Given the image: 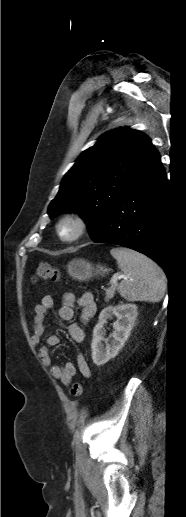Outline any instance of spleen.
Segmentation results:
<instances>
[{"label": "spleen", "instance_id": "3e777b00", "mask_svg": "<svg viewBox=\"0 0 186 517\" xmlns=\"http://www.w3.org/2000/svg\"><path fill=\"white\" fill-rule=\"evenodd\" d=\"M111 255L119 269L126 274L118 289L127 301L159 302L166 290V276L162 269L143 254L127 248H113Z\"/></svg>", "mask_w": 186, "mask_h": 517}]
</instances>
